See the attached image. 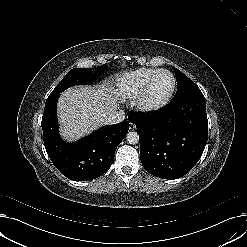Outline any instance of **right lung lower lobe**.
<instances>
[{
  "instance_id": "right-lung-lower-lobe-1",
  "label": "right lung lower lobe",
  "mask_w": 247,
  "mask_h": 247,
  "mask_svg": "<svg viewBox=\"0 0 247 247\" xmlns=\"http://www.w3.org/2000/svg\"><path fill=\"white\" fill-rule=\"evenodd\" d=\"M60 94L49 95L42 117L44 146L55 167L74 181H88L107 172L115 151L129 129V121L104 126L78 142L65 143L58 134L56 104Z\"/></svg>"
}]
</instances>
